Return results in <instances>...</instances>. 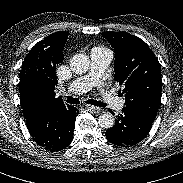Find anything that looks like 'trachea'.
<instances>
[{"mask_svg": "<svg viewBox=\"0 0 183 183\" xmlns=\"http://www.w3.org/2000/svg\"><path fill=\"white\" fill-rule=\"evenodd\" d=\"M66 102L67 103H70V104L77 105V104H79L80 101H79L78 98H74L72 96H68ZM87 103L90 104V105L98 106V107H104V106H106L105 103H103L101 101L93 100V99H89L87 101Z\"/></svg>", "mask_w": 183, "mask_h": 183, "instance_id": "1", "label": "trachea"}]
</instances>
